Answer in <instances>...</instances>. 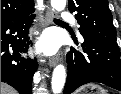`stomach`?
I'll return each mask as SVG.
<instances>
[{"mask_svg": "<svg viewBox=\"0 0 121 94\" xmlns=\"http://www.w3.org/2000/svg\"><path fill=\"white\" fill-rule=\"evenodd\" d=\"M76 94H107L106 90L95 84H88L82 87Z\"/></svg>", "mask_w": 121, "mask_h": 94, "instance_id": "1", "label": "stomach"}]
</instances>
